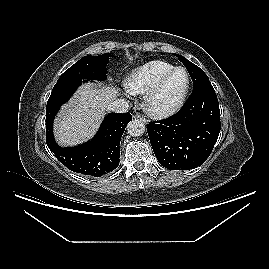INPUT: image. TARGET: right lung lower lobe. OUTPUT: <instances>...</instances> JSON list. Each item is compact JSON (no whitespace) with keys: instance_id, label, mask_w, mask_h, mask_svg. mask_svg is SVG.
I'll return each instance as SVG.
<instances>
[{"instance_id":"right-lung-lower-lobe-1","label":"right lung lower lobe","mask_w":269,"mask_h":269,"mask_svg":"<svg viewBox=\"0 0 269 269\" xmlns=\"http://www.w3.org/2000/svg\"><path fill=\"white\" fill-rule=\"evenodd\" d=\"M85 80L66 79L53 87L46 107V142L56 158L68 169L84 175L100 177L119 165L120 139L132 120L129 112L108 114L95 137L76 147L62 148L53 136V121L60 106L67 102Z\"/></svg>"}]
</instances>
